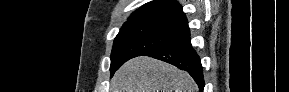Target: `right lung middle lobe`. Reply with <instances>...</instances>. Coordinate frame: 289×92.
Returning <instances> with one entry per match:
<instances>
[{"instance_id":"1","label":"right lung middle lobe","mask_w":289,"mask_h":92,"mask_svg":"<svg viewBox=\"0 0 289 92\" xmlns=\"http://www.w3.org/2000/svg\"><path fill=\"white\" fill-rule=\"evenodd\" d=\"M188 34L185 25L147 19L126 21L114 40L111 75L127 60L173 44Z\"/></svg>"}]
</instances>
